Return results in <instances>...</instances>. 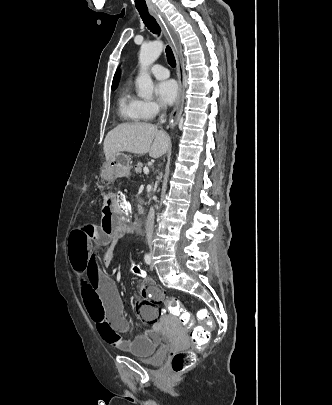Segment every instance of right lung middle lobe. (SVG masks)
<instances>
[{
    "mask_svg": "<svg viewBox=\"0 0 332 405\" xmlns=\"http://www.w3.org/2000/svg\"><path fill=\"white\" fill-rule=\"evenodd\" d=\"M116 87H117V85H115V86H112V90H115V89H116Z\"/></svg>",
    "mask_w": 332,
    "mask_h": 405,
    "instance_id": "right-lung-middle-lobe-1",
    "label": "right lung middle lobe"
}]
</instances>
